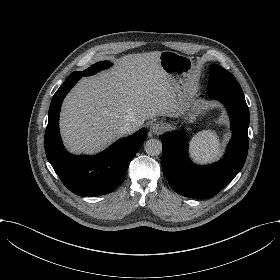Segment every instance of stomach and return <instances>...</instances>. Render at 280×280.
<instances>
[{
  "mask_svg": "<svg viewBox=\"0 0 280 280\" xmlns=\"http://www.w3.org/2000/svg\"><path fill=\"white\" fill-rule=\"evenodd\" d=\"M160 65L168 74L171 85L174 87L179 107L178 115L188 122H193L195 110L193 105L197 78L195 65L191 57L174 51L165 50L160 53Z\"/></svg>",
  "mask_w": 280,
  "mask_h": 280,
  "instance_id": "obj_1",
  "label": "stomach"
}]
</instances>
